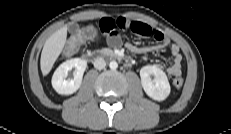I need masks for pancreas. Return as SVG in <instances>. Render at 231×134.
<instances>
[{
    "label": "pancreas",
    "mask_w": 231,
    "mask_h": 134,
    "mask_svg": "<svg viewBox=\"0 0 231 134\" xmlns=\"http://www.w3.org/2000/svg\"><path fill=\"white\" fill-rule=\"evenodd\" d=\"M101 52L106 54V55H112L113 54V51L108 49V48L102 49Z\"/></svg>",
    "instance_id": "obj_1"
}]
</instances>
